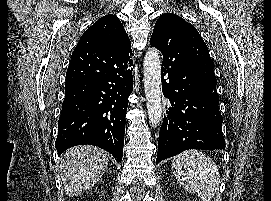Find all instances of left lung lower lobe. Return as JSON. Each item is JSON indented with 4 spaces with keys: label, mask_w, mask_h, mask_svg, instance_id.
Masks as SVG:
<instances>
[{
    "label": "left lung lower lobe",
    "mask_w": 271,
    "mask_h": 201,
    "mask_svg": "<svg viewBox=\"0 0 271 201\" xmlns=\"http://www.w3.org/2000/svg\"><path fill=\"white\" fill-rule=\"evenodd\" d=\"M161 52L162 91L170 105L159 132L156 162L188 149H224L219 101L198 83L182 41L173 39Z\"/></svg>",
    "instance_id": "1"
}]
</instances>
